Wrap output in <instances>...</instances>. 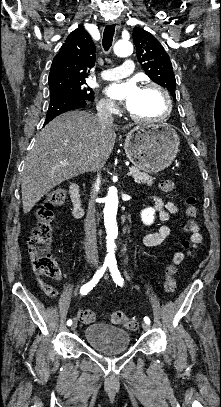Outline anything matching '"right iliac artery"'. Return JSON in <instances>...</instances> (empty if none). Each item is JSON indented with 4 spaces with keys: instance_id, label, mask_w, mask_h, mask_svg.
Returning <instances> with one entry per match:
<instances>
[{
    "instance_id": "1",
    "label": "right iliac artery",
    "mask_w": 221,
    "mask_h": 407,
    "mask_svg": "<svg viewBox=\"0 0 221 407\" xmlns=\"http://www.w3.org/2000/svg\"><path fill=\"white\" fill-rule=\"evenodd\" d=\"M107 268V265H103L97 272L94 274L92 280L88 282L87 284L83 285L80 289V293L82 295H86L93 287L98 283L100 278L103 276ZM72 324V320L67 321V325L70 326Z\"/></svg>"
}]
</instances>
